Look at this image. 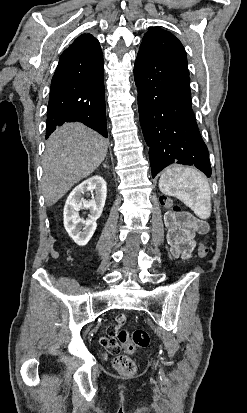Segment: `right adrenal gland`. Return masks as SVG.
<instances>
[{
	"label": "right adrenal gland",
	"instance_id": "1",
	"mask_svg": "<svg viewBox=\"0 0 247 413\" xmlns=\"http://www.w3.org/2000/svg\"><path fill=\"white\" fill-rule=\"evenodd\" d=\"M103 166H104V168H109V166H107V164H105V162H103Z\"/></svg>",
	"mask_w": 247,
	"mask_h": 413
}]
</instances>
